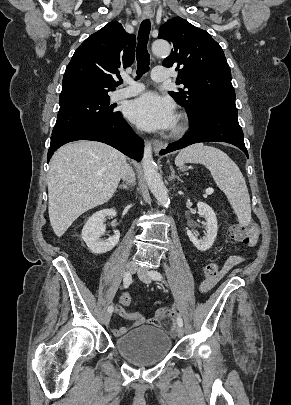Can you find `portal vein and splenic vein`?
Instances as JSON below:
<instances>
[{"instance_id":"1","label":"portal vein and splenic vein","mask_w":291,"mask_h":405,"mask_svg":"<svg viewBox=\"0 0 291 405\" xmlns=\"http://www.w3.org/2000/svg\"><path fill=\"white\" fill-rule=\"evenodd\" d=\"M213 191H214L213 188H207L205 192L207 195H211Z\"/></svg>"}]
</instances>
